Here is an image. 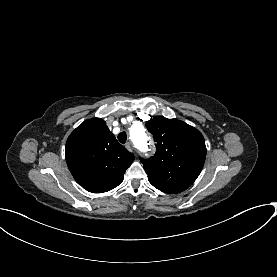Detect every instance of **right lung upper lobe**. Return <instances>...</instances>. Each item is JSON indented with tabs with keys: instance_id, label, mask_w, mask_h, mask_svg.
Returning <instances> with one entry per match:
<instances>
[{
	"instance_id": "cb5924a9",
	"label": "right lung upper lobe",
	"mask_w": 277,
	"mask_h": 277,
	"mask_svg": "<svg viewBox=\"0 0 277 277\" xmlns=\"http://www.w3.org/2000/svg\"><path fill=\"white\" fill-rule=\"evenodd\" d=\"M134 155L118 143L100 118L84 121L66 142V161L84 189L102 193L120 185Z\"/></svg>"
}]
</instances>
